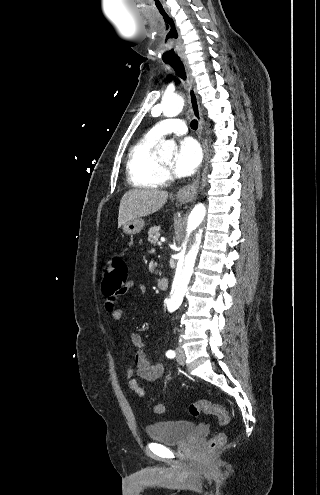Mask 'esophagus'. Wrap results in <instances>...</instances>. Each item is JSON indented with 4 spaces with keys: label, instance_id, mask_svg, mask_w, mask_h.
<instances>
[{
    "label": "esophagus",
    "instance_id": "esophagus-1",
    "mask_svg": "<svg viewBox=\"0 0 320 495\" xmlns=\"http://www.w3.org/2000/svg\"><path fill=\"white\" fill-rule=\"evenodd\" d=\"M182 62H183V65L186 69V72H187V79H188L187 88H188V98H189V104H190L191 112H192L193 116L198 120L197 134H198V138H199L201 145H202V148H203L204 156H206V147H205V144H204L203 139H202L203 119H202V115H201V111H200V105H199V101H198L195 79H194V76L192 74V70L190 68L188 61L183 59ZM198 186H199V177H197L192 183H190L186 186H183L178 191L177 198L180 201H186V202L194 199V197L197 194Z\"/></svg>",
    "mask_w": 320,
    "mask_h": 495
}]
</instances>
